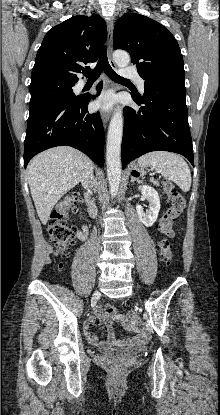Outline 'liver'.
I'll use <instances>...</instances> for the list:
<instances>
[{"instance_id": "obj_1", "label": "liver", "mask_w": 220, "mask_h": 415, "mask_svg": "<svg viewBox=\"0 0 220 415\" xmlns=\"http://www.w3.org/2000/svg\"><path fill=\"white\" fill-rule=\"evenodd\" d=\"M92 170V161L68 146L48 149L30 161L28 183L43 225L60 198L90 175Z\"/></svg>"}]
</instances>
